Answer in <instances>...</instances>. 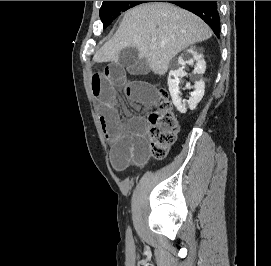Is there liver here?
I'll return each mask as SVG.
<instances>
[{"mask_svg": "<svg viewBox=\"0 0 271 266\" xmlns=\"http://www.w3.org/2000/svg\"><path fill=\"white\" fill-rule=\"evenodd\" d=\"M211 36L209 26L187 10L169 3L142 4L126 12L117 32L93 60L118 62L123 49L135 47L154 74L164 75L181 50Z\"/></svg>", "mask_w": 271, "mask_h": 266, "instance_id": "liver-1", "label": "liver"}]
</instances>
